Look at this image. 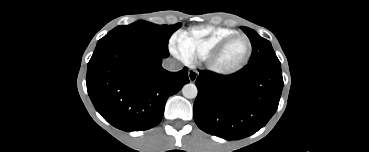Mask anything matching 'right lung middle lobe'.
<instances>
[{"label":"right lung middle lobe","instance_id":"right-lung-middle-lobe-1","mask_svg":"<svg viewBox=\"0 0 369 152\" xmlns=\"http://www.w3.org/2000/svg\"><path fill=\"white\" fill-rule=\"evenodd\" d=\"M180 27V23L175 25H156L139 20L130 25H120L114 28L97 42L96 48L113 41H135L152 48L160 54L168 56L169 38Z\"/></svg>","mask_w":369,"mask_h":152}]
</instances>
